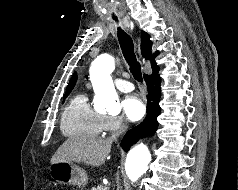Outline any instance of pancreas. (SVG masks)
Here are the masks:
<instances>
[{"instance_id": "obj_1", "label": "pancreas", "mask_w": 238, "mask_h": 190, "mask_svg": "<svg viewBox=\"0 0 238 190\" xmlns=\"http://www.w3.org/2000/svg\"><path fill=\"white\" fill-rule=\"evenodd\" d=\"M104 189H105V187H103V185H101V184H99L97 187H92L91 188V190H104Z\"/></svg>"}]
</instances>
